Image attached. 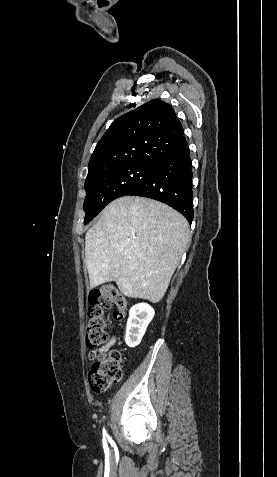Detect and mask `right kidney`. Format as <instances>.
<instances>
[{"mask_svg": "<svg viewBox=\"0 0 277 477\" xmlns=\"http://www.w3.org/2000/svg\"><path fill=\"white\" fill-rule=\"evenodd\" d=\"M154 315V309L146 303H139L131 307L125 335L127 346L133 348L140 344Z\"/></svg>", "mask_w": 277, "mask_h": 477, "instance_id": "1", "label": "right kidney"}]
</instances>
